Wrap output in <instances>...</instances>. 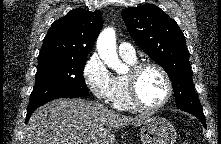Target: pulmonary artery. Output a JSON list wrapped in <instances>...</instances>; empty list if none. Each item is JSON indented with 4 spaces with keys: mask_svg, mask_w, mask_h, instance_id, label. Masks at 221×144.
<instances>
[{
    "mask_svg": "<svg viewBox=\"0 0 221 144\" xmlns=\"http://www.w3.org/2000/svg\"><path fill=\"white\" fill-rule=\"evenodd\" d=\"M118 52L122 58H125L128 60L136 59V52H135L134 47L127 42H122L119 44Z\"/></svg>",
    "mask_w": 221,
    "mask_h": 144,
    "instance_id": "pulmonary-artery-1",
    "label": "pulmonary artery"
}]
</instances>
